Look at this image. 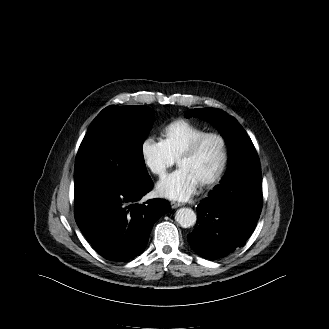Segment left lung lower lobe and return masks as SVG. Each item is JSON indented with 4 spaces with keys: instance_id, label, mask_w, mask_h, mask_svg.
Segmentation results:
<instances>
[{
    "instance_id": "left-lung-lower-lobe-1",
    "label": "left lung lower lobe",
    "mask_w": 329,
    "mask_h": 329,
    "mask_svg": "<svg viewBox=\"0 0 329 329\" xmlns=\"http://www.w3.org/2000/svg\"><path fill=\"white\" fill-rule=\"evenodd\" d=\"M231 177L221 186L222 197L205 198L197 206V223L188 241L203 258L218 259L240 248L259 219L262 208L259 160Z\"/></svg>"
}]
</instances>
